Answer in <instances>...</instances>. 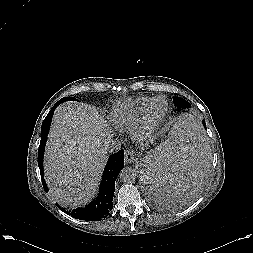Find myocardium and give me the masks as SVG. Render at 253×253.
I'll return each instance as SVG.
<instances>
[{"label": "myocardium", "instance_id": "myocardium-1", "mask_svg": "<svg viewBox=\"0 0 253 253\" xmlns=\"http://www.w3.org/2000/svg\"><path fill=\"white\" fill-rule=\"evenodd\" d=\"M158 99H164L166 102V110L163 113L162 116L158 117V118H153L151 116V107L152 105L155 103V101H157ZM170 110V106L168 101L166 100L165 97L163 96H157L152 98L147 105L145 106L142 115L140 117V120L136 126L137 129V133L138 134H147V133H151L154 130H156L166 119L168 113Z\"/></svg>", "mask_w": 253, "mask_h": 253}]
</instances>
